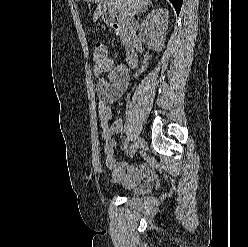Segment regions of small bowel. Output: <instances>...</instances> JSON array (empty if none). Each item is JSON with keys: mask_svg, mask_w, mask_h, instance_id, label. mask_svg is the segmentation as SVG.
<instances>
[{"mask_svg": "<svg viewBox=\"0 0 248 247\" xmlns=\"http://www.w3.org/2000/svg\"><path fill=\"white\" fill-rule=\"evenodd\" d=\"M93 73L96 78V93L98 96V116L104 139V153L106 166L112 173L115 182L125 186H133L146 177L150 169L146 164L128 166L125 162H118L114 152L116 149L115 135L123 129L121 119L111 121L112 112L108 105L115 103L125 93L129 85V75L123 65H116L112 59L104 61L94 59ZM103 73H108L107 77Z\"/></svg>", "mask_w": 248, "mask_h": 247, "instance_id": "c3829d8e", "label": "small bowel"}]
</instances>
